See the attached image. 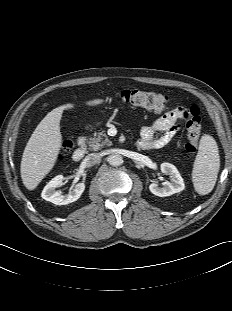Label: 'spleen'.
Wrapping results in <instances>:
<instances>
[{
	"mask_svg": "<svg viewBox=\"0 0 232 311\" xmlns=\"http://www.w3.org/2000/svg\"><path fill=\"white\" fill-rule=\"evenodd\" d=\"M219 168L220 157L217 143L212 136L205 134L201 137L192 170V181L198 194L206 195L213 190Z\"/></svg>",
	"mask_w": 232,
	"mask_h": 311,
	"instance_id": "1",
	"label": "spleen"
}]
</instances>
